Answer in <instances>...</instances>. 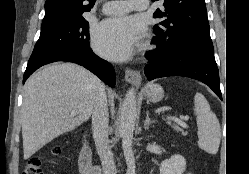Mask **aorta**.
Segmentation results:
<instances>
[{
  "label": "aorta",
  "instance_id": "obj_1",
  "mask_svg": "<svg viewBox=\"0 0 249 174\" xmlns=\"http://www.w3.org/2000/svg\"><path fill=\"white\" fill-rule=\"evenodd\" d=\"M137 117L136 92L134 89L127 91L121 107L120 134L122 148L128 168L127 174H135V158L132 150L133 132Z\"/></svg>",
  "mask_w": 249,
  "mask_h": 174
}]
</instances>
